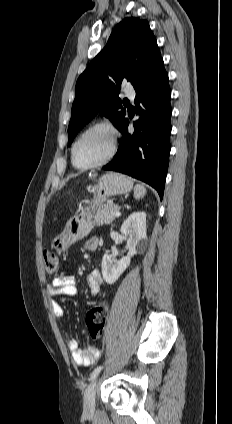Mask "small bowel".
I'll list each match as a JSON object with an SVG mask.
<instances>
[{
  "mask_svg": "<svg viewBox=\"0 0 232 424\" xmlns=\"http://www.w3.org/2000/svg\"><path fill=\"white\" fill-rule=\"evenodd\" d=\"M98 246V239L91 237L84 241L83 249L93 251ZM88 288L91 294H98L101 290V276L98 271H92L86 277ZM51 295L50 305L54 316L64 319L66 312L61 303L55 298L57 296H76L78 293L76 279L72 275H61L55 277L47 286ZM66 345L73 362L80 366H90L98 360L102 354V349L96 345H89L85 349H80L78 343L73 338H66Z\"/></svg>",
  "mask_w": 232,
  "mask_h": 424,
  "instance_id": "1",
  "label": "small bowel"
}]
</instances>
